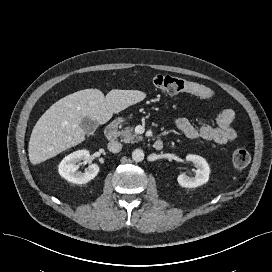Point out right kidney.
Returning <instances> with one entry per match:
<instances>
[{
	"mask_svg": "<svg viewBox=\"0 0 272 272\" xmlns=\"http://www.w3.org/2000/svg\"><path fill=\"white\" fill-rule=\"evenodd\" d=\"M90 157L88 150L75 151L60 162L58 166L59 174L69 182L75 184H85L90 180L94 179L99 173V166L97 164H90L84 173L78 172L79 165L77 164L80 160H87Z\"/></svg>",
	"mask_w": 272,
	"mask_h": 272,
	"instance_id": "1",
	"label": "right kidney"
}]
</instances>
